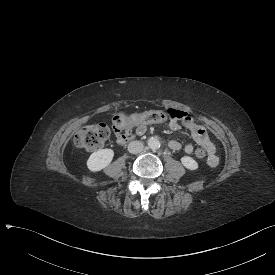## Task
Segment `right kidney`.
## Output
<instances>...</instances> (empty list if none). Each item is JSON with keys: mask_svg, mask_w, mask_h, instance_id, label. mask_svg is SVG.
Here are the masks:
<instances>
[{"mask_svg": "<svg viewBox=\"0 0 275 275\" xmlns=\"http://www.w3.org/2000/svg\"><path fill=\"white\" fill-rule=\"evenodd\" d=\"M113 149H100L93 152L87 159L86 165L91 172H99L106 168L113 160Z\"/></svg>", "mask_w": 275, "mask_h": 275, "instance_id": "obj_1", "label": "right kidney"}]
</instances>
